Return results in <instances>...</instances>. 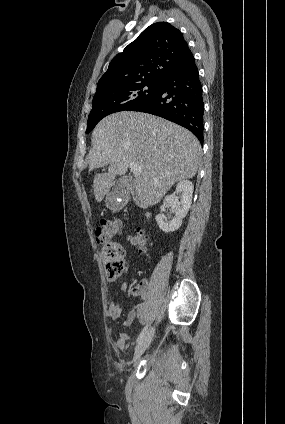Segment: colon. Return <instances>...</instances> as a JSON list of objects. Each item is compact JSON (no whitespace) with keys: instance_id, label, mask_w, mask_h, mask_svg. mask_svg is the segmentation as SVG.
I'll return each instance as SVG.
<instances>
[{"instance_id":"1","label":"colon","mask_w":285,"mask_h":424,"mask_svg":"<svg viewBox=\"0 0 285 424\" xmlns=\"http://www.w3.org/2000/svg\"><path fill=\"white\" fill-rule=\"evenodd\" d=\"M121 232H123V226L119 220H104L94 229L97 243L103 246V266L109 279L120 276L125 267V251L120 244L114 241V238ZM130 241L140 251L147 250V237L141 230L137 229L130 235Z\"/></svg>"}]
</instances>
